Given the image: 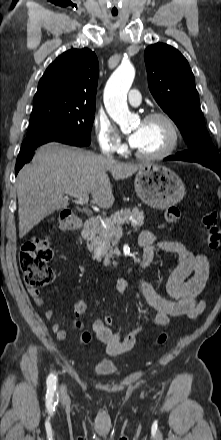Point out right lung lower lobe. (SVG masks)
I'll list each match as a JSON object with an SVG mask.
<instances>
[{"label":"right lung lower lobe","mask_w":221,"mask_h":440,"mask_svg":"<svg viewBox=\"0 0 221 440\" xmlns=\"http://www.w3.org/2000/svg\"><path fill=\"white\" fill-rule=\"evenodd\" d=\"M51 141H56V142L73 145V146H79V147L87 146L84 143L71 139L69 137L39 135L35 137L26 138L21 145V149L17 157L16 166H15V175H17V173L24 164L28 163L32 159L33 151L38 146Z\"/></svg>","instance_id":"1"}]
</instances>
